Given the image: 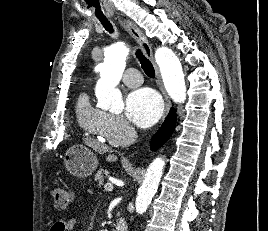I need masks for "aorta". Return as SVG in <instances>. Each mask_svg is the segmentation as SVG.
Returning a JSON list of instances; mask_svg holds the SVG:
<instances>
[{"label": "aorta", "mask_w": 268, "mask_h": 231, "mask_svg": "<svg viewBox=\"0 0 268 231\" xmlns=\"http://www.w3.org/2000/svg\"><path fill=\"white\" fill-rule=\"evenodd\" d=\"M129 49L122 43L111 45L105 52L104 62L100 69L95 93L102 109L122 111L124 102L121 92L117 89L126 66ZM155 60L160 68L165 89L176 103L186 99V85L181 62L175 53L167 47H159L155 52ZM165 161L162 157L155 158L149 165L144 181L138 189L135 207L136 212L146 211L153 196L157 192Z\"/></svg>", "instance_id": "obj_1"}]
</instances>
